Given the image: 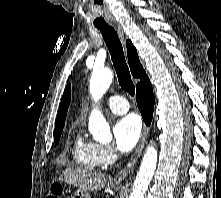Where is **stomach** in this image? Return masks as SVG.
<instances>
[{"mask_svg":"<svg viewBox=\"0 0 221 198\" xmlns=\"http://www.w3.org/2000/svg\"><path fill=\"white\" fill-rule=\"evenodd\" d=\"M71 198H91L88 191L83 189H78L74 192L73 196Z\"/></svg>","mask_w":221,"mask_h":198,"instance_id":"0dacf381","label":"stomach"}]
</instances>
